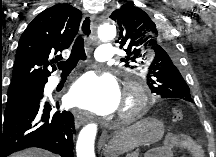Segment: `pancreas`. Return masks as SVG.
<instances>
[{"label": "pancreas", "mask_w": 216, "mask_h": 157, "mask_svg": "<svg viewBox=\"0 0 216 157\" xmlns=\"http://www.w3.org/2000/svg\"><path fill=\"white\" fill-rule=\"evenodd\" d=\"M138 153H133L132 155H129V157H138Z\"/></svg>", "instance_id": "1"}]
</instances>
